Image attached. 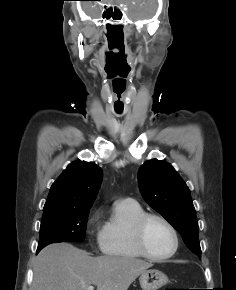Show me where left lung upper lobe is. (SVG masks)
<instances>
[{"label": "left lung upper lobe", "mask_w": 236, "mask_h": 290, "mask_svg": "<svg viewBox=\"0 0 236 290\" xmlns=\"http://www.w3.org/2000/svg\"><path fill=\"white\" fill-rule=\"evenodd\" d=\"M143 198L182 236L186 246L201 257L198 222L190 190L175 169L167 162L152 159L138 172Z\"/></svg>", "instance_id": "obj_1"}]
</instances>
